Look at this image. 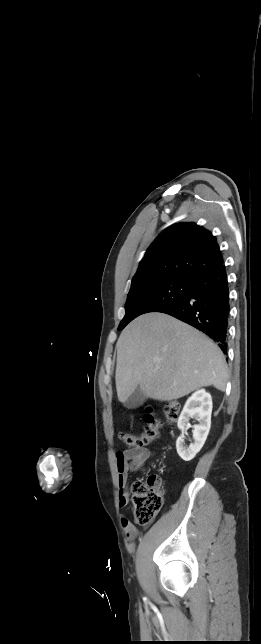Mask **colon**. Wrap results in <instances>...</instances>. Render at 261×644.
I'll return each instance as SVG.
<instances>
[{
	"label": "colon",
	"instance_id": "1",
	"mask_svg": "<svg viewBox=\"0 0 261 644\" xmlns=\"http://www.w3.org/2000/svg\"><path fill=\"white\" fill-rule=\"evenodd\" d=\"M164 415L167 421L177 420L180 404L169 401L164 405ZM144 430L140 435L121 433L122 441L132 449H142L159 438L162 421L151 411L147 410L143 416ZM133 513L136 522L147 524L154 519L163 505V490L161 479L158 475L150 474L144 480L134 482Z\"/></svg>",
	"mask_w": 261,
	"mask_h": 644
}]
</instances>
